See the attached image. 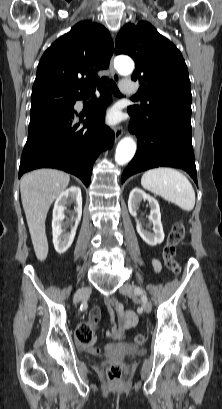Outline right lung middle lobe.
<instances>
[{
    "label": "right lung middle lobe",
    "mask_w": 222,
    "mask_h": 409,
    "mask_svg": "<svg viewBox=\"0 0 222 409\" xmlns=\"http://www.w3.org/2000/svg\"><path fill=\"white\" fill-rule=\"evenodd\" d=\"M54 105H40V106H35V107H31V117H35L37 115H40L42 113H44L45 111H47L48 109H50L51 107H53Z\"/></svg>",
    "instance_id": "obj_1"
}]
</instances>
